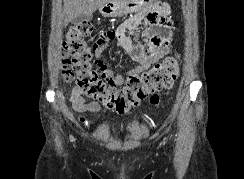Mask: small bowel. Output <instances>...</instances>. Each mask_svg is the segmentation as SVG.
<instances>
[{"label": "small bowel", "instance_id": "1", "mask_svg": "<svg viewBox=\"0 0 244 179\" xmlns=\"http://www.w3.org/2000/svg\"><path fill=\"white\" fill-rule=\"evenodd\" d=\"M148 5V8H145ZM142 12L135 13V18H127L117 29L101 32L92 50L96 64L103 77L112 86H120L125 76L114 72L108 62L103 59L104 52L111 43L116 42L118 47L135 63L127 74L141 73L149 69L154 63L164 58L170 51L174 39L170 8L162 1L142 3ZM123 13V12H118ZM134 31L132 37L126 32ZM70 102L73 109L79 114V120L88 124L85 112L99 113L101 106L97 103H88L85 94L77 86L70 93Z\"/></svg>", "mask_w": 244, "mask_h": 179}]
</instances>
